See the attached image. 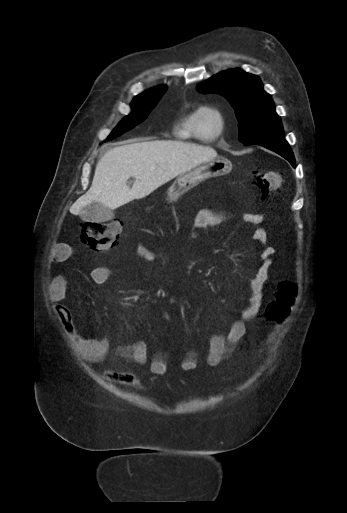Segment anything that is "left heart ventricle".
Here are the masks:
<instances>
[{"instance_id":"left-heart-ventricle-1","label":"left heart ventricle","mask_w":347,"mask_h":513,"mask_svg":"<svg viewBox=\"0 0 347 513\" xmlns=\"http://www.w3.org/2000/svg\"><path fill=\"white\" fill-rule=\"evenodd\" d=\"M216 129L217 121L213 116L206 114L201 118V130L204 135L208 136Z\"/></svg>"}]
</instances>
